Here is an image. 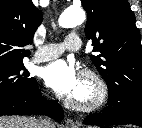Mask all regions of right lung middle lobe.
Returning <instances> with one entry per match:
<instances>
[{"label":"right lung middle lobe","instance_id":"obj_1","mask_svg":"<svg viewBox=\"0 0 142 128\" xmlns=\"http://www.w3.org/2000/svg\"><path fill=\"white\" fill-rule=\"evenodd\" d=\"M36 84L35 78H29L23 64L0 65V97L25 95L31 92Z\"/></svg>","mask_w":142,"mask_h":128}]
</instances>
